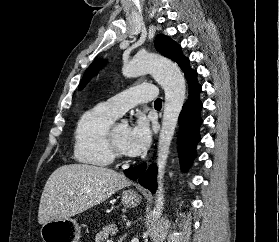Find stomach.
Here are the masks:
<instances>
[{
  "instance_id": "obj_1",
  "label": "stomach",
  "mask_w": 279,
  "mask_h": 242,
  "mask_svg": "<svg viewBox=\"0 0 279 242\" xmlns=\"http://www.w3.org/2000/svg\"><path fill=\"white\" fill-rule=\"evenodd\" d=\"M122 204L125 207H136L141 196L133 190L122 193ZM43 242H78L80 227L74 219H56L43 224L40 230Z\"/></svg>"
}]
</instances>
